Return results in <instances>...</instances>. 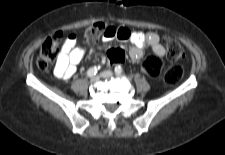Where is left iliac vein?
<instances>
[{
    "mask_svg": "<svg viewBox=\"0 0 225 155\" xmlns=\"http://www.w3.org/2000/svg\"><path fill=\"white\" fill-rule=\"evenodd\" d=\"M100 76L102 78H109V77H112L113 76V73L110 72V71H103V72H101Z\"/></svg>",
    "mask_w": 225,
    "mask_h": 155,
    "instance_id": "obj_1",
    "label": "left iliac vein"
}]
</instances>
